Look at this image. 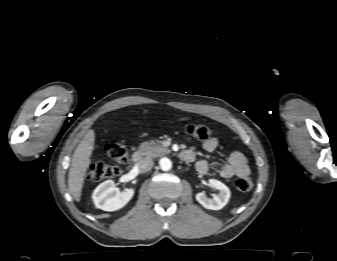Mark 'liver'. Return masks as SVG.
<instances>
[{
    "label": "liver",
    "instance_id": "liver-1",
    "mask_svg": "<svg viewBox=\"0 0 337 261\" xmlns=\"http://www.w3.org/2000/svg\"><path fill=\"white\" fill-rule=\"evenodd\" d=\"M95 132L90 129L79 143L72 156L68 175V186L72 197L79 202L87 169L91 163V155L94 149Z\"/></svg>",
    "mask_w": 337,
    "mask_h": 261
}]
</instances>
